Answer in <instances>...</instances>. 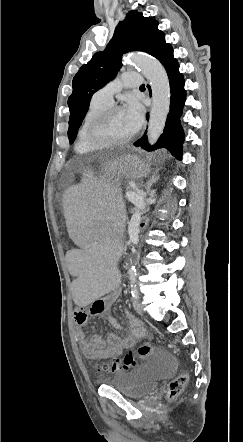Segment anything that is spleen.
Masks as SVG:
<instances>
[{
	"instance_id": "1",
	"label": "spleen",
	"mask_w": 243,
	"mask_h": 442,
	"mask_svg": "<svg viewBox=\"0 0 243 442\" xmlns=\"http://www.w3.org/2000/svg\"><path fill=\"white\" fill-rule=\"evenodd\" d=\"M107 172V167L101 168ZM145 176V171H138ZM81 183H73L69 193H62V202H67L66 212L72 242H78L80 253L73 254L70 261L72 274H77L78 282L72 287L78 307H91L99 302L100 296H116L121 291L123 278L117 277V263L121 258V222H107V219H122L124 212L120 204V192L126 177L99 175L98 169H82Z\"/></svg>"
}]
</instances>
